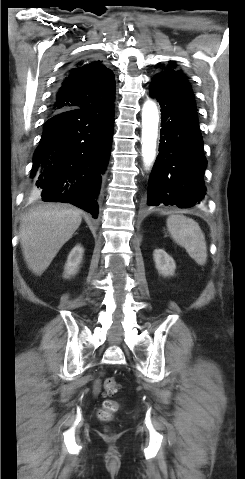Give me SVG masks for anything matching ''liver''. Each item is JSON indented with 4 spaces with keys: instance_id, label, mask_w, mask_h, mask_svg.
Here are the masks:
<instances>
[{
    "instance_id": "6515ba94",
    "label": "liver",
    "mask_w": 245,
    "mask_h": 479,
    "mask_svg": "<svg viewBox=\"0 0 245 479\" xmlns=\"http://www.w3.org/2000/svg\"><path fill=\"white\" fill-rule=\"evenodd\" d=\"M82 222L78 210L45 205L27 213L20 225V244L28 268L40 276Z\"/></svg>"
}]
</instances>
